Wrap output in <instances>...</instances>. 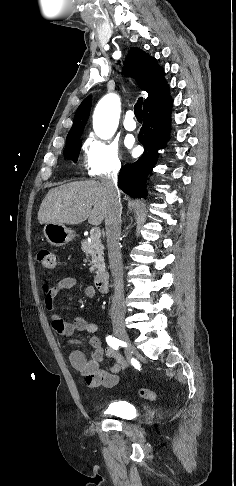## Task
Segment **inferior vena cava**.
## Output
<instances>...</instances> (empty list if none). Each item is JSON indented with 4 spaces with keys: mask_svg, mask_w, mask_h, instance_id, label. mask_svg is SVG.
Wrapping results in <instances>:
<instances>
[{
    "mask_svg": "<svg viewBox=\"0 0 236 486\" xmlns=\"http://www.w3.org/2000/svg\"><path fill=\"white\" fill-rule=\"evenodd\" d=\"M120 168L121 164L115 165L112 168V171L101 180V183L105 188L108 196V209L105 216V229L110 270L114 282V300L111 307L112 315L124 312L123 264L119 244V238L121 234L122 205L120 199V191L117 186L118 172Z\"/></svg>",
    "mask_w": 236,
    "mask_h": 486,
    "instance_id": "602c4592",
    "label": "inferior vena cava"
}]
</instances>
